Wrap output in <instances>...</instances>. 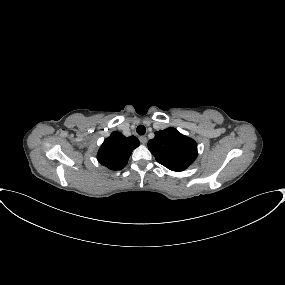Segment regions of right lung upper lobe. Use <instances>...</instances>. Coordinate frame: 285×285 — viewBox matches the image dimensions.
<instances>
[{"label":"right lung upper lobe","instance_id":"1","mask_svg":"<svg viewBox=\"0 0 285 285\" xmlns=\"http://www.w3.org/2000/svg\"><path fill=\"white\" fill-rule=\"evenodd\" d=\"M139 146L135 136L125 137L119 132H113L101 145L97 159L111 170H121L128 162L131 152Z\"/></svg>","mask_w":285,"mask_h":285}]
</instances>
